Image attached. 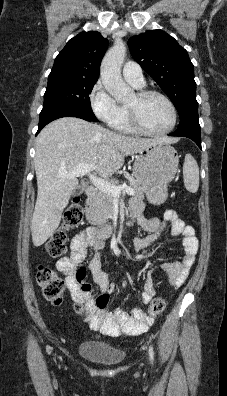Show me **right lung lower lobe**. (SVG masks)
Wrapping results in <instances>:
<instances>
[{
    "instance_id": "1",
    "label": "right lung lower lobe",
    "mask_w": 227,
    "mask_h": 396,
    "mask_svg": "<svg viewBox=\"0 0 227 396\" xmlns=\"http://www.w3.org/2000/svg\"><path fill=\"white\" fill-rule=\"evenodd\" d=\"M62 117H77L81 118L87 121H92L90 118H88L84 113L71 108V107H65V106H59V107H54L50 108L47 110H42L40 113V119H39V127H38V132L48 123L51 121L62 118Z\"/></svg>"
}]
</instances>
